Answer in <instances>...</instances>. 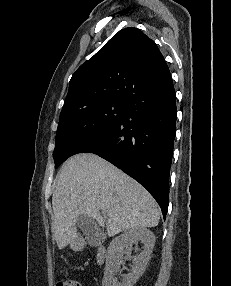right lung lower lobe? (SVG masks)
I'll return each instance as SVG.
<instances>
[{
  "mask_svg": "<svg viewBox=\"0 0 231 286\" xmlns=\"http://www.w3.org/2000/svg\"><path fill=\"white\" fill-rule=\"evenodd\" d=\"M124 103L125 114L78 153L99 155L134 178L155 198L165 218L177 117L171 75L137 89Z\"/></svg>",
  "mask_w": 231,
  "mask_h": 286,
  "instance_id": "obj_1",
  "label": "right lung lower lobe"
}]
</instances>
